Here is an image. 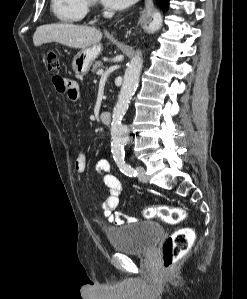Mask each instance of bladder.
Wrapping results in <instances>:
<instances>
[{
	"label": "bladder",
	"instance_id": "obj_1",
	"mask_svg": "<svg viewBox=\"0 0 247 299\" xmlns=\"http://www.w3.org/2000/svg\"><path fill=\"white\" fill-rule=\"evenodd\" d=\"M163 234V226L154 221H140L111 227L106 231L111 247L116 251L128 254L148 253Z\"/></svg>",
	"mask_w": 247,
	"mask_h": 299
}]
</instances>
